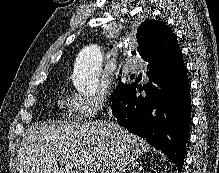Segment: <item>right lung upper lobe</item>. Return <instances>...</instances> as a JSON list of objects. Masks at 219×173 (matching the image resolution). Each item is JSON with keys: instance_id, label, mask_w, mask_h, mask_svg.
Returning a JSON list of instances; mask_svg holds the SVG:
<instances>
[{"instance_id": "cb5924a9", "label": "right lung upper lobe", "mask_w": 219, "mask_h": 173, "mask_svg": "<svg viewBox=\"0 0 219 173\" xmlns=\"http://www.w3.org/2000/svg\"><path fill=\"white\" fill-rule=\"evenodd\" d=\"M136 38L137 52L145 61L158 55L159 60L172 64L182 58L177 38L164 22L157 20L143 22L137 29Z\"/></svg>"}]
</instances>
